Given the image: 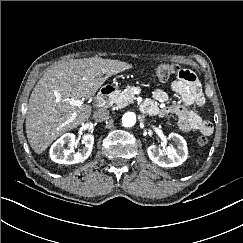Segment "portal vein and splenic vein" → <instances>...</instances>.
<instances>
[{
	"instance_id": "portal-vein-and-splenic-vein-1",
	"label": "portal vein and splenic vein",
	"mask_w": 243,
	"mask_h": 243,
	"mask_svg": "<svg viewBox=\"0 0 243 243\" xmlns=\"http://www.w3.org/2000/svg\"><path fill=\"white\" fill-rule=\"evenodd\" d=\"M71 105L80 107L84 103V99H73L70 101Z\"/></svg>"
}]
</instances>
